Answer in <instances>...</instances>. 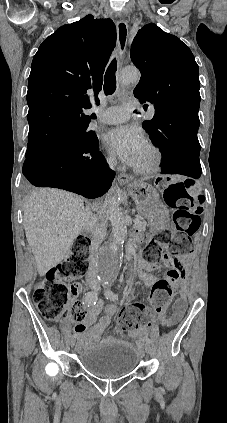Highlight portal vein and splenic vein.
Returning a JSON list of instances; mask_svg holds the SVG:
<instances>
[{
  "instance_id": "18ae733b",
  "label": "portal vein and splenic vein",
  "mask_w": 227,
  "mask_h": 423,
  "mask_svg": "<svg viewBox=\"0 0 227 423\" xmlns=\"http://www.w3.org/2000/svg\"><path fill=\"white\" fill-rule=\"evenodd\" d=\"M134 223H139V219H137V217L134 219Z\"/></svg>"
}]
</instances>
